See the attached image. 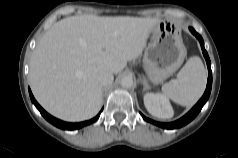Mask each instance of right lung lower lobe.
Masks as SVG:
<instances>
[{
    "label": "right lung lower lobe",
    "instance_id": "1",
    "mask_svg": "<svg viewBox=\"0 0 238 158\" xmlns=\"http://www.w3.org/2000/svg\"><path fill=\"white\" fill-rule=\"evenodd\" d=\"M29 94H30V98L31 101L34 103V105L37 107V109L40 111V113L43 115V117L48 120L51 124L55 125L58 128L61 129H65V130H74V129H79L83 126L89 125L93 122H95L99 116L100 113L94 117L93 119L89 120V121H85V122H81V123H67V122H63L61 120H58L56 118H54L53 116L49 115L34 99L31 90L29 89Z\"/></svg>",
    "mask_w": 238,
    "mask_h": 158
}]
</instances>
